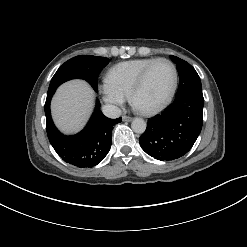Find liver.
Masks as SVG:
<instances>
[{
    "label": "liver",
    "instance_id": "1",
    "mask_svg": "<svg viewBox=\"0 0 247 247\" xmlns=\"http://www.w3.org/2000/svg\"><path fill=\"white\" fill-rule=\"evenodd\" d=\"M93 99L94 92L85 81L73 80L60 86L51 103L57 127L67 134L79 131L91 113Z\"/></svg>",
    "mask_w": 247,
    "mask_h": 247
}]
</instances>
